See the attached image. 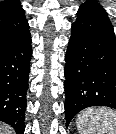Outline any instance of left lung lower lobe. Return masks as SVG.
Segmentation results:
<instances>
[{"label":"left lung lower lobe","instance_id":"0a47b994","mask_svg":"<svg viewBox=\"0 0 116 134\" xmlns=\"http://www.w3.org/2000/svg\"><path fill=\"white\" fill-rule=\"evenodd\" d=\"M65 55L66 127L82 109H116V38L106 11L80 7Z\"/></svg>","mask_w":116,"mask_h":134}]
</instances>
